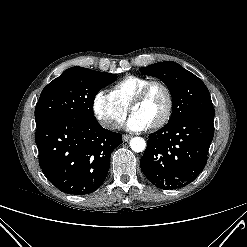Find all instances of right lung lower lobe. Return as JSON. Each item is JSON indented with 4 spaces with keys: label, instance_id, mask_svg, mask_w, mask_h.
<instances>
[{
    "label": "right lung lower lobe",
    "instance_id": "1",
    "mask_svg": "<svg viewBox=\"0 0 247 247\" xmlns=\"http://www.w3.org/2000/svg\"><path fill=\"white\" fill-rule=\"evenodd\" d=\"M35 142L49 181L65 193L86 195L105 181L122 135L104 129L96 119L61 118L38 125Z\"/></svg>",
    "mask_w": 247,
    "mask_h": 247
}]
</instances>
